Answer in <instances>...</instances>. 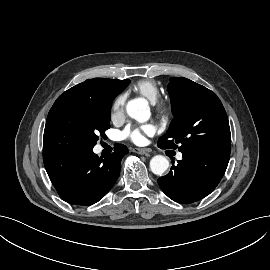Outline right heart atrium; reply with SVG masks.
<instances>
[{"instance_id":"right-heart-atrium-1","label":"right heart atrium","mask_w":270,"mask_h":270,"mask_svg":"<svg viewBox=\"0 0 270 270\" xmlns=\"http://www.w3.org/2000/svg\"><path fill=\"white\" fill-rule=\"evenodd\" d=\"M126 95L124 93L119 94L111 104V119L118 121L124 117Z\"/></svg>"}]
</instances>
